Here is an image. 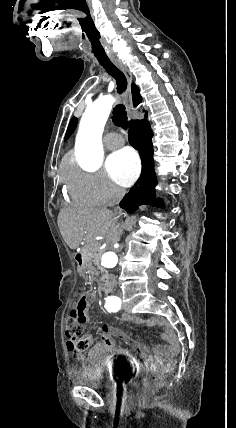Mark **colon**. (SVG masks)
I'll use <instances>...</instances> for the list:
<instances>
[{"mask_svg":"<svg viewBox=\"0 0 236 428\" xmlns=\"http://www.w3.org/2000/svg\"><path fill=\"white\" fill-rule=\"evenodd\" d=\"M89 295L85 290H81L76 296V304L70 310L67 319L68 347L71 350H86L91 344V338L82 334V325L88 320ZM172 369L169 364L163 371L145 375L141 379V388L145 392L154 390Z\"/></svg>","mask_w":236,"mask_h":428,"instance_id":"1","label":"colon"}]
</instances>
